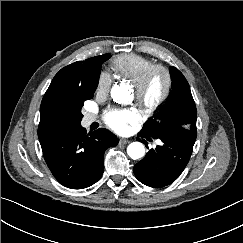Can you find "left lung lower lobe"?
Listing matches in <instances>:
<instances>
[{"mask_svg":"<svg viewBox=\"0 0 243 243\" xmlns=\"http://www.w3.org/2000/svg\"><path fill=\"white\" fill-rule=\"evenodd\" d=\"M139 136L147 137L141 132ZM159 139L162 145L150 149L133 168L141 183L154 188L173 183L188 164L193 150V145L189 142L169 135H163Z\"/></svg>","mask_w":243,"mask_h":243,"instance_id":"1","label":"left lung lower lobe"}]
</instances>
